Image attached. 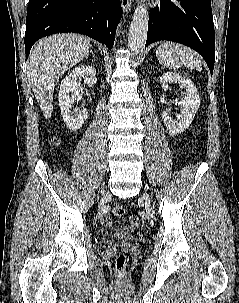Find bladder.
<instances>
[{
  "label": "bladder",
  "mask_w": 239,
  "mask_h": 303,
  "mask_svg": "<svg viewBox=\"0 0 239 303\" xmlns=\"http://www.w3.org/2000/svg\"><path fill=\"white\" fill-rule=\"evenodd\" d=\"M127 238L132 239V238H133V235H132V234H129V235L127 236Z\"/></svg>",
  "instance_id": "obj_1"
}]
</instances>
